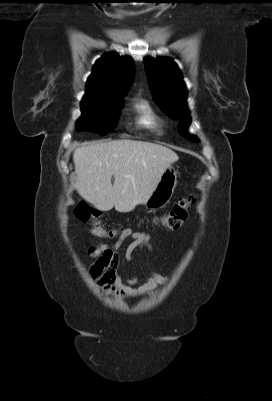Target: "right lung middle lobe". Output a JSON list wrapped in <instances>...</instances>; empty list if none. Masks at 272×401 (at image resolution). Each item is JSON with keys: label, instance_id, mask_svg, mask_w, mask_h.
I'll list each match as a JSON object with an SVG mask.
<instances>
[{"label": "right lung middle lobe", "instance_id": "obj_1", "mask_svg": "<svg viewBox=\"0 0 272 401\" xmlns=\"http://www.w3.org/2000/svg\"><path fill=\"white\" fill-rule=\"evenodd\" d=\"M124 93H111L85 98L81 102L82 116L77 122L79 130L107 134L115 128Z\"/></svg>", "mask_w": 272, "mask_h": 401}]
</instances>
